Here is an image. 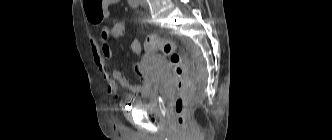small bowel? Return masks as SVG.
<instances>
[{
    "label": "small bowel",
    "instance_id": "obj_1",
    "mask_svg": "<svg viewBox=\"0 0 332 140\" xmlns=\"http://www.w3.org/2000/svg\"><path fill=\"white\" fill-rule=\"evenodd\" d=\"M120 0H105L104 5V16L109 15V9L119 3ZM92 23H98L89 19ZM112 38L105 35L102 31L98 38L94 39L92 43V52L95 63L99 67L104 80L107 82V91L110 94H115L117 92V86L128 90V94L125 99L128 102L134 100L135 95L145 97L151 91V84L144 73V70L140 64L135 66V71L139 75L141 82L133 84L126 76L119 70L114 69L111 73L107 68V60L112 58V51L109 47V41ZM131 49L134 53L140 54L143 51L141 42L135 39L131 44Z\"/></svg>",
    "mask_w": 332,
    "mask_h": 140
}]
</instances>
